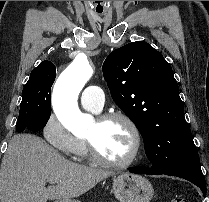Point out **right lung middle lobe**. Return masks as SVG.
<instances>
[{
    "mask_svg": "<svg viewBox=\"0 0 209 202\" xmlns=\"http://www.w3.org/2000/svg\"><path fill=\"white\" fill-rule=\"evenodd\" d=\"M56 76H36L23 88V97L16 129L38 131L45 127L51 115V87Z\"/></svg>",
    "mask_w": 209,
    "mask_h": 202,
    "instance_id": "right-lung-middle-lobe-1",
    "label": "right lung middle lobe"
}]
</instances>
